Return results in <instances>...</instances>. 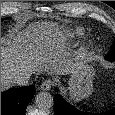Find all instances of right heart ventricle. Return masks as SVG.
<instances>
[{
    "label": "right heart ventricle",
    "instance_id": "1",
    "mask_svg": "<svg viewBox=\"0 0 115 115\" xmlns=\"http://www.w3.org/2000/svg\"><path fill=\"white\" fill-rule=\"evenodd\" d=\"M84 34L82 28H74L68 32V36L71 38L81 37Z\"/></svg>",
    "mask_w": 115,
    "mask_h": 115
}]
</instances>
